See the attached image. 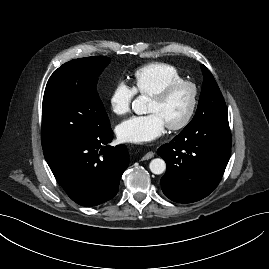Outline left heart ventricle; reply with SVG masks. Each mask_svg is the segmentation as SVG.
Instances as JSON below:
<instances>
[{
  "mask_svg": "<svg viewBox=\"0 0 269 269\" xmlns=\"http://www.w3.org/2000/svg\"><path fill=\"white\" fill-rule=\"evenodd\" d=\"M192 98V91L187 86L177 88L164 101L150 98L148 113H157L166 125L180 121L186 114Z\"/></svg>",
  "mask_w": 269,
  "mask_h": 269,
  "instance_id": "left-heart-ventricle-1",
  "label": "left heart ventricle"
}]
</instances>
